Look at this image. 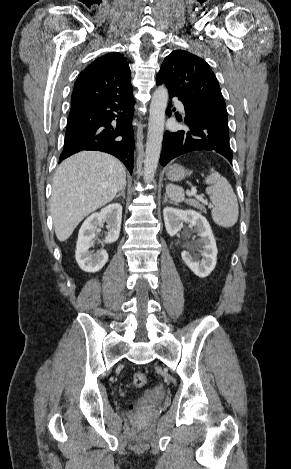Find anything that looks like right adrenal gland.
<instances>
[{"mask_svg": "<svg viewBox=\"0 0 291 469\" xmlns=\"http://www.w3.org/2000/svg\"><path fill=\"white\" fill-rule=\"evenodd\" d=\"M125 188H126V184L124 185V187L121 189V191L115 196V198L117 199L118 197L122 196L124 199H125Z\"/></svg>", "mask_w": 291, "mask_h": 469, "instance_id": "2a0ac1e0", "label": "right adrenal gland"}]
</instances>
